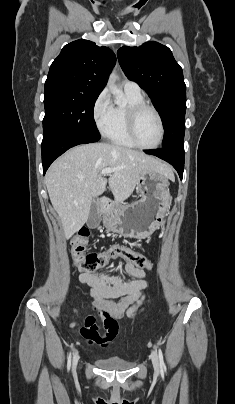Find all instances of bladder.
<instances>
[{"instance_id": "bladder-1", "label": "bladder", "mask_w": 235, "mask_h": 404, "mask_svg": "<svg viewBox=\"0 0 235 404\" xmlns=\"http://www.w3.org/2000/svg\"><path fill=\"white\" fill-rule=\"evenodd\" d=\"M96 364L102 368L111 370H127L133 366L131 362L119 361L113 358H104L96 360Z\"/></svg>"}]
</instances>
